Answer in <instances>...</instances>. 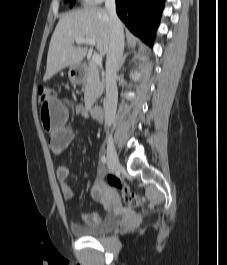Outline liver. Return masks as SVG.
Instances as JSON below:
<instances>
[{
    "label": "liver",
    "mask_w": 227,
    "mask_h": 265,
    "mask_svg": "<svg viewBox=\"0 0 227 265\" xmlns=\"http://www.w3.org/2000/svg\"><path fill=\"white\" fill-rule=\"evenodd\" d=\"M111 36L112 24L107 10L91 7L64 14L50 41L44 81L65 67L78 66L84 59L87 47H74L76 38L94 39L97 50L105 56L110 49Z\"/></svg>",
    "instance_id": "obj_1"
}]
</instances>
